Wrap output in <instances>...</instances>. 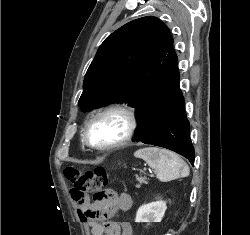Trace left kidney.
<instances>
[{
	"label": "left kidney",
	"instance_id": "5707ae66",
	"mask_svg": "<svg viewBox=\"0 0 250 235\" xmlns=\"http://www.w3.org/2000/svg\"><path fill=\"white\" fill-rule=\"evenodd\" d=\"M167 209L165 201H157L142 205L136 214L135 222H161Z\"/></svg>",
	"mask_w": 250,
	"mask_h": 235
}]
</instances>
